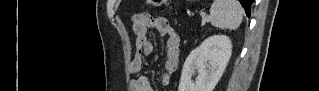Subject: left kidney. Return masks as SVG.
<instances>
[{"label": "left kidney", "mask_w": 319, "mask_h": 91, "mask_svg": "<svg viewBox=\"0 0 319 91\" xmlns=\"http://www.w3.org/2000/svg\"><path fill=\"white\" fill-rule=\"evenodd\" d=\"M232 53V43L226 35L206 38L187 57L178 91H213L220 80ZM198 76L192 80L195 72Z\"/></svg>", "instance_id": "left-kidney-1"}]
</instances>
